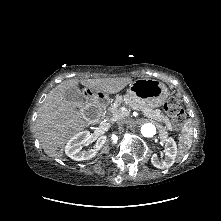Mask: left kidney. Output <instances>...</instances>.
<instances>
[{
    "label": "left kidney",
    "instance_id": "obj_1",
    "mask_svg": "<svg viewBox=\"0 0 221 221\" xmlns=\"http://www.w3.org/2000/svg\"><path fill=\"white\" fill-rule=\"evenodd\" d=\"M165 159L159 160L157 154H153L151 157V163L154 167L159 169H165L171 167L177 156V145L173 138L169 137L165 140Z\"/></svg>",
    "mask_w": 221,
    "mask_h": 221
}]
</instances>
